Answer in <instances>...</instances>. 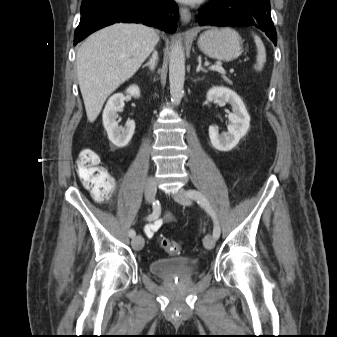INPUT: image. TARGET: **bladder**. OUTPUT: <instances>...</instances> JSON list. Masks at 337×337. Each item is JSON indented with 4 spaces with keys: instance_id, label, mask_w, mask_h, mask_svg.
Listing matches in <instances>:
<instances>
[{
    "instance_id": "obj_1",
    "label": "bladder",
    "mask_w": 337,
    "mask_h": 337,
    "mask_svg": "<svg viewBox=\"0 0 337 337\" xmlns=\"http://www.w3.org/2000/svg\"><path fill=\"white\" fill-rule=\"evenodd\" d=\"M198 269L199 264L196 261L180 257L160 258L153 260L150 264L151 272L160 277L191 276Z\"/></svg>"
}]
</instances>
